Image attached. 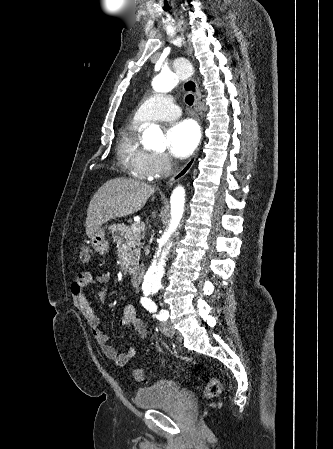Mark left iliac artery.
I'll return each mask as SVG.
<instances>
[{
	"mask_svg": "<svg viewBox=\"0 0 333 449\" xmlns=\"http://www.w3.org/2000/svg\"><path fill=\"white\" fill-rule=\"evenodd\" d=\"M144 306L147 310L154 313L157 311V306L154 302L147 299L146 303H144ZM169 314L166 310H161L159 314L156 315V318L160 321H165L168 318Z\"/></svg>",
	"mask_w": 333,
	"mask_h": 449,
	"instance_id": "1",
	"label": "left iliac artery"
}]
</instances>
